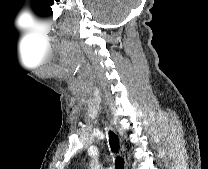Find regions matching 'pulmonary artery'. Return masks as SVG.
Masks as SVG:
<instances>
[{
    "label": "pulmonary artery",
    "mask_w": 208,
    "mask_h": 169,
    "mask_svg": "<svg viewBox=\"0 0 208 169\" xmlns=\"http://www.w3.org/2000/svg\"><path fill=\"white\" fill-rule=\"evenodd\" d=\"M106 169H113L112 167H108V168H106Z\"/></svg>",
    "instance_id": "obj_1"
}]
</instances>
